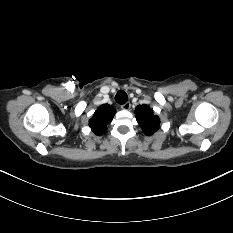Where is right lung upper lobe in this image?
Returning <instances> with one entry per match:
<instances>
[{
  "mask_svg": "<svg viewBox=\"0 0 233 233\" xmlns=\"http://www.w3.org/2000/svg\"><path fill=\"white\" fill-rule=\"evenodd\" d=\"M116 110L109 104L98 107L93 117L89 120V126L96 135H101L106 131V126L114 117Z\"/></svg>",
  "mask_w": 233,
  "mask_h": 233,
  "instance_id": "obj_1",
  "label": "right lung upper lobe"
}]
</instances>
